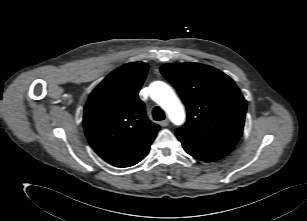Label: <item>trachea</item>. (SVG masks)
<instances>
[{"label": "trachea", "instance_id": "1", "mask_svg": "<svg viewBox=\"0 0 307 221\" xmlns=\"http://www.w3.org/2000/svg\"><path fill=\"white\" fill-rule=\"evenodd\" d=\"M152 115L154 120H164L165 118L163 110L158 106L152 110Z\"/></svg>", "mask_w": 307, "mask_h": 221}]
</instances>
